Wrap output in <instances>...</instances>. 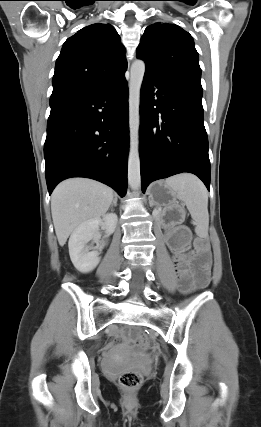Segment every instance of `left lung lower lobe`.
<instances>
[{
	"mask_svg": "<svg viewBox=\"0 0 261 427\" xmlns=\"http://www.w3.org/2000/svg\"><path fill=\"white\" fill-rule=\"evenodd\" d=\"M202 86L145 73L140 103L141 186L189 172L210 191Z\"/></svg>",
	"mask_w": 261,
	"mask_h": 427,
	"instance_id": "0a47b994",
	"label": "left lung lower lobe"
}]
</instances>
